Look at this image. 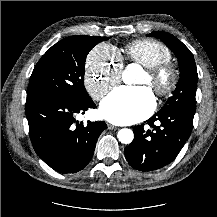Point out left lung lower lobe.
<instances>
[{"label": "left lung lower lobe", "instance_id": "1", "mask_svg": "<svg viewBox=\"0 0 217 217\" xmlns=\"http://www.w3.org/2000/svg\"><path fill=\"white\" fill-rule=\"evenodd\" d=\"M194 113L185 109L157 112L146 121L153 130H144V124L133 127L134 140L125 148L128 163L148 172L172 162L191 134Z\"/></svg>", "mask_w": 217, "mask_h": 217}]
</instances>
